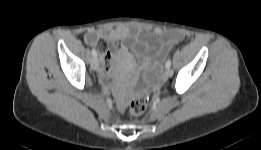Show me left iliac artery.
I'll return each instance as SVG.
<instances>
[{
  "label": "left iliac artery",
  "instance_id": "left-iliac-artery-1",
  "mask_svg": "<svg viewBox=\"0 0 261 150\" xmlns=\"http://www.w3.org/2000/svg\"><path fill=\"white\" fill-rule=\"evenodd\" d=\"M166 68H170L171 66V60H167L165 63Z\"/></svg>",
  "mask_w": 261,
  "mask_h": 150
}]
</instances>
